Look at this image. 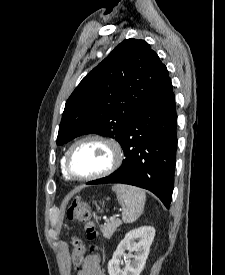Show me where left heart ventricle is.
<instances>
[{
    "mask_svg": "<svg viewBox=\"0 0 225 275\" xmlns=\"http://www.w3.org/2000/svg\"><path fill=\"white\" fill-rule=\"evenodd\" d=\"M111 161L109 148L99 142L80 144L71 155L70 166L77 175H90L106 169Z\"/></svg>",
    "mask_w": 225,
    "mask_h": 275,
    "instance_id": "left-heart-ventricle-1",
    "label": "left heart ventricle"
}]
</instances>
